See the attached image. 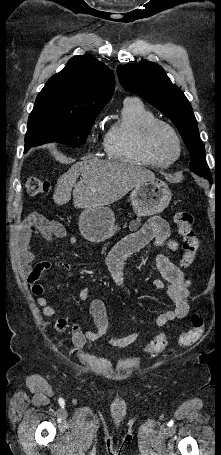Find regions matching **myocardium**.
Wrapping results in <instances>:
<instances>
[{
	"instance_id": "obj_1",
	"label": "myocardium",
	"mask_w": 221,
	"mask_h": 455,
	"mask_svg": "<svg viewBox=\"0 0 221 455\" xmlns=\"http://www.w3.org/2000/svg\"><path fill=\"white\" fill-rule=\"evenodd\" d=\"M160 130L166 131L174 140L177 148V152L175 156L167 155L158 145L157 142V135ZM143 143L146 149L152 153L154 156L158 157L159 159L171 163L177 160L181 154L182 145L179 135L177 134L176 130L166 121L161 119H153L143 129Z\"/></svg>"
}]
</instances>
